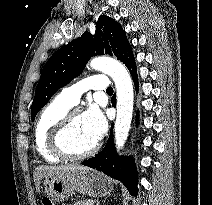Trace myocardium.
Returning <instances> with one entry per match:
<instances>
[{"mask_svg":"<svg viewBox=\"0 0 212 205\" xmlns=\"http://www.w3.org/2000/svg\"><path fill=\"white\" fill-rule=\"evenodd\" d=\"M80 114L78 110H69L53 126L49 135V146L51 151L64 160H81L93 155L99 148V142L96 141L88 150L81 153L70 152L65 144L66 134L73 117Z\"/></svg>","mask_w":212,"mask_h":205,"instance_id":"1","label":"myocardium"}]
</instances>
